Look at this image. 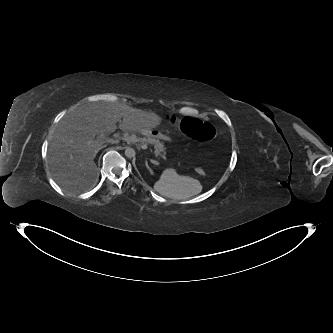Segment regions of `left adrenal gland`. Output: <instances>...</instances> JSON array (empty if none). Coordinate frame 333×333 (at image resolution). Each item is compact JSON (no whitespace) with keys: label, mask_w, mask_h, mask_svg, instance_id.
Listing matches in <instances>:
<instances>
[{"label":"left adrenal gland","mask_w":333,"mask_h":333,"mask_svg":"<svg viewBox=\"0 0 333 333\" xmlns=\"http://www.w3.org/2000/svg\"><path fill=\"white\" fill-rule=\"evenodd\" d=\"M145 166H146V168L149 170V172L152 174L153 171H152V169L149 167L147 160L145 161Z\"/></svg>","instance_id":"obj_1"}]
</instances>
